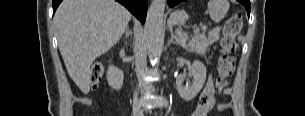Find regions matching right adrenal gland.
Instances as JSON below:
<instances>
[{
	"mask_svg": "<svg viewBox=\"0 0 305 116\" xmlns=\"http://www.w3.org/2000/svg\"><path fill=\"white\" fill-rule=\"evenodd\" d=\"M125 38H127L129 35H132V32L129 30V27L127 26L125 29ZM125 44L127 45V42H125Z\"/></svg>",
	"mask_w": 305,
	"mask_h": 116,
	"instance_id": "obj_1",
	"label": "right adrenal gland"
}]
</instances>
